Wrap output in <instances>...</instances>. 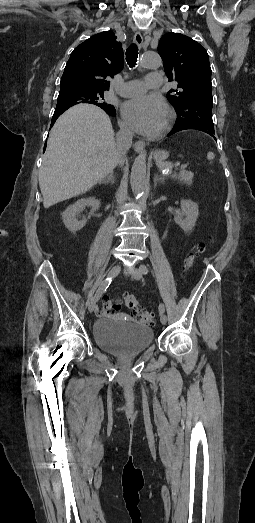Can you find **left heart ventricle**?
I'll return each instance as SVG.
<instances>
[{
  "label": "left heart ventricle",
  "mask_w": 255,
  "mask_h": 523,
  "mask_svg": "<svg viewBox=\"0 0 255 523\" xmlns=\"http://www.w3.org/2000/svg\"><path fill=\"white\" fill-rule=\"evenodd\" d=\"M167 121H168V112L167 110L164 112L163 116H162V119H161V122H160V130L159 132H162L163 129L165 128L166 124H167Z\"/></svg>",
  "instance_id": "obj_1"
}]
</instances>
